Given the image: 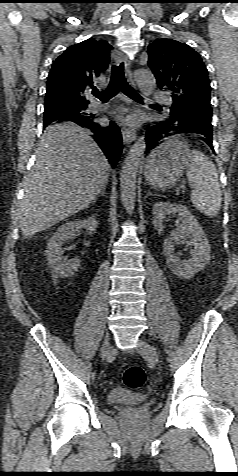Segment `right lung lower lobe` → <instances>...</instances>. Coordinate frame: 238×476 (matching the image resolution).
Returning <instances> with one entry per match:
<instances>
[{
    "instance_id": "98d812e1",
    "label": "right lung lower lobe",
    "mask_w": 238,
    "mask_h": 476,
    "mask_svg": "<svg viewBox=\"0 0 238 476\" xmlns=\"http://www.w3.org/2000/svg\"><path fill=\"white\" fill-rule=\"evenodd\" d=\"M73 122L90 129L94 133V140L107 156L112 167H114L122 152V135L118 126L111 122L108 127H103L95 121L94 116ZM47 125L44 124V127Z\"/></svg>"
}]
</instances>
